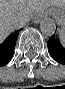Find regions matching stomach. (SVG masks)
<instances>
[{
    "label": "stomach",
    "instance_id": "1",
    "mask_svg": "<svg viewBox=\"0 0 65 89\" xmlns=\"http://www.w3.org/2000/svg\"><path fill=\"white\" fill-rule=\"evenodd\" d=\"M49 11L52 12V14H54L58 18L65 16V10L64 9L59 10V9H56V8H50Z\"/></svg>",
    "mask_w": 65,
    "mask_h": 89
}]
</instances>
